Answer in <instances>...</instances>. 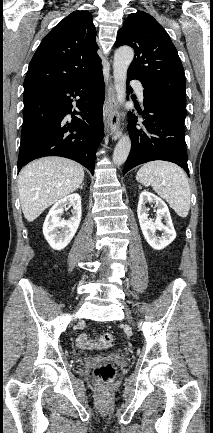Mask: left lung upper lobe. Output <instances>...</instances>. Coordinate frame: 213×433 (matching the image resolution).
<instances>
[{
    "label": "left lung upper lobe",
    "mask_w": 213,
    "mask_h": 433,
    "mask_svg": "<svg viewBox=\"0 0 213 433\" xmlns=\"http://www.w3.org/2000/svg\"><path fill=\"white\" fill-rule=\"evenodd\" d=\"M135 51L128 75L139 80L151 96L186 106V81L182 63L168 33L148 13L130 14L118 31L115 46Z\"/></svg>",
    "instance_id": "left-lung-upper-lobe-1"
}]
</instances>
